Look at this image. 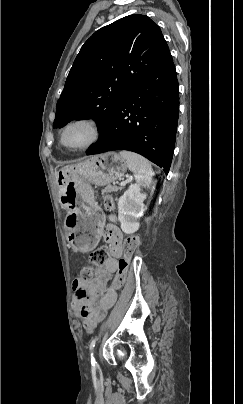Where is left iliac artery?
I'll return each instance as SVG.
<instances>
[{"label": "left iliac artery", "mask_w": 243, "mask_h": 404, "mask_svg": "<svg viewBox=\"0 0 243 404\" xmlns=\"http://www.w3.org/2000/svg\"><path fill=\"white\" fill-rule=\"evenodd\" d=\"M96 341H97V338H94L91 341L90 346H89L90 351L94 348ZM91 363H92L93 368H95L97 366V363H96L92 353H91Z\"/></svg>", "instance_id": "1"}]
</instances>
